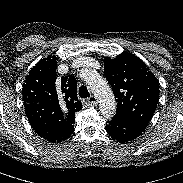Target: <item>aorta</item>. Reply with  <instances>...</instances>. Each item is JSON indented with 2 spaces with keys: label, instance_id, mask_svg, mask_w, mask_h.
Listing matches in <instances>:
<instances>
[{
  "label": "aorta",
  "instance_id": "obj_1",
  "mask_svg": "<svg viewBox=\"0 0 183 183\" xmlns=\"http://www.w3.org/2000/svg\"><path fill=\"white\" fill-rule=\"evenodd\" d=\"M85 83L99 100V108L106 119H111L116 112L114 94L107 81L95 70H85Z\"/></svg>",
  "mask_w": 183,
  "mask_h": 183
}]
</instances>
